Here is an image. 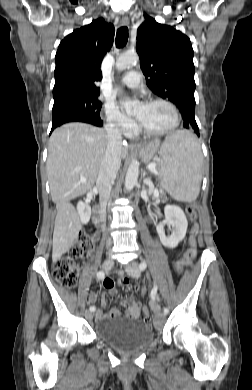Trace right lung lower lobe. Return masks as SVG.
Here are the masks:
<instances>
[{
  "mask_svg": "<svg viewBox=\"0 0 252 390\" xmlns=\"http://www.w3.org/2000/svg\"><path fill=\"white\" fill-rule=\"evenodd\" d=\"M67 122H85V123H90L95 126L101 127L103 125V122L101 120H94L85 116H80V115H62L56 118H53V125L51 132L53 131L54 128L67 123Z\"/></svg>",
  "mask_w": 252,
  "mask_h": 390,
  "instance_id": "obj_1",
  "label": "right lung lower lobe"
}]
</instances>
